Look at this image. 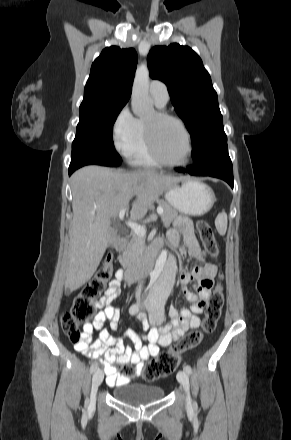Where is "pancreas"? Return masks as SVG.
<instances>
[{
  "label": "pancreas",
  "mask_w": 291,
  "mask_h": 440,
  "mask_svg": "<svg viewBox=\"0 0 291 440\" xmlns=\"http://www.w3.org/2000/svg\"><path fill=\"white\" fill-rule=\"evenodd\" d=\"M160 205L163 208L162 222L165 227H168L177 217L178 212L165 201H161ZM144 248L145 238L132 233L131 238L125 241L119 248V251L122 252V255L119 256L121 265L126 268L131 264L138 263L143 255Z\"/></svg>",
  "instance_id": "cf45deb5"
}]
</instances>
